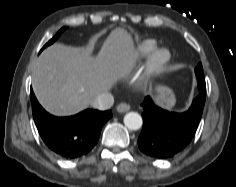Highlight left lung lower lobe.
I'll use <instances>...</instances> for the list:
<instances>
[{
	"mask_svg": "<svg viewBox=\"0 0 236 187\" xmlns=\"http://www.w3.org/2000/svg\"><path fill=\"white\" fill-rule=\"evenodd\" d=\"M206 93L199 90L188 111L163 110L146 97L142 106L143 128L138 138L140 150L147 156L166 159L185 148L199 125Z\"/></svg>",
	"mask_w": 236,
	"mask_h": 187,
	"instance_id": "0a47b994",
	"label": "left lung lower lobe"
}]
</instances>
